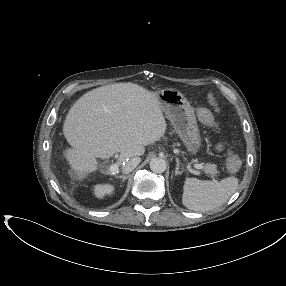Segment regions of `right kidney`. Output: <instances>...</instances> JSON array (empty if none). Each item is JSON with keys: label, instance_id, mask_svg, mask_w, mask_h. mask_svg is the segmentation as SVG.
Masks as SVG:
<instances>
[{"label": "right kidney", "instance_id": "1", "mask_svg": "<svg viewBox=\"0 0 286 286\" xmlns=\"http://www.w3.org/2000/svg\"><path fill=\"white\" fill-rule=\"evenodd\" d=\"M114 191V186L111 184H97L94 187V193L97 197H103L106 194H111Z\"/></svg>", "mask_w": 286, "mask_h": 286}]
</instances>
